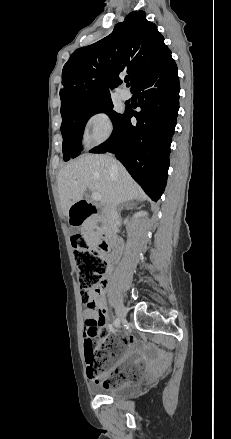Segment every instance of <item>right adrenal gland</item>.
Here are the masks:
<instances>
[{
    "mask_svg": "<svg viewBox=\"0 0 231 439\" xmlns=\"http://www.w3.org/2000/svg\"><path fill=\"white\" fill-rule=\"evenodd\" d=\"M124 206L128 207V203H126V204H125V203H122V205L120 206L119 210L121 211V210L123 209Z\"/></svg>",
    "mask_w": 231,
    "mask_h": 439,
    "instance_id": "obj_1",
    "label": "right adrenal gland"
}]
</instances>
